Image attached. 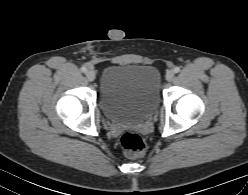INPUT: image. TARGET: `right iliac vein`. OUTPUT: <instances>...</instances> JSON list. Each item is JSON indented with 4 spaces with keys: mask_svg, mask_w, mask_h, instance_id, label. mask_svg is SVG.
Here are the masks:
<instances>
[{
    "mask_svg": "<svg viewBox=\"0 0 248 195\" xmlns=\"http://www.w3.org/2000/svg\"><path fill=\"white\" fill-rule=\"evenodd\" d=\"M86 77H87V79H88L89 81L95 80V78H96V73H95V71H94V70H88V71L86 72Z\"/></svg>",
    "mask_w": 248,
    "mask_h": 195,
    "instance_id": "obj_1",
    "label": "right iliac vein"
}]
</instances>
